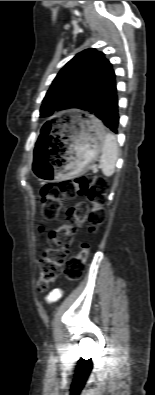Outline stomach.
I'll return each mask as SVG.
<instances>
[{
  "label": "stomach",
  "instance_id": "obj_1",
  "mask_svg": "<svg viewBox=\"0 0 155 395\" xmlns=\"http://www.w3.org/2000/svg\"><path fill=\"white\" fill-rule=\"evenodd\" d=\"M102 123L86 111H76L63 135L58 154L36 156L33 174L41 181L70 179L84 173L98 157L105 139ZM48 159V160H47Z\"/></svg>",
  "mask_w": 155,
  "mask_h": 395
}]
</instances>
